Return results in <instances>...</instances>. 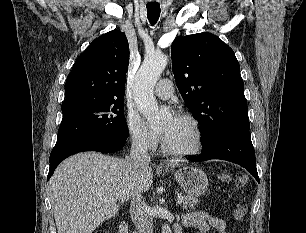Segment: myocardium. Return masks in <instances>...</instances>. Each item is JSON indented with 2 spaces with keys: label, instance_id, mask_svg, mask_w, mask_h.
I'll return each instance as SVG.
<instances>
[{
  "label": "myocardium",
  "instance_id": "myocardium-1",
  "mask_svg": "<svg viewBox=\"0 0 306 233\" xmlns=\"http://www.w3.org/2000/svg\"><path fill=\"white\" fill-rule=\"evenodd\" d=\"M177 118L184 119L193 126L196 136L195 145L192 149L189 150H173L169 148L165 143L164 139H162V150L166 154L176 157H189L198 154L203 147V131L201 124L193 115L186 112L179 113Z\"/></svg>",
  "mask_w": 306,
  "mask_h": 233
}]
</instances>
